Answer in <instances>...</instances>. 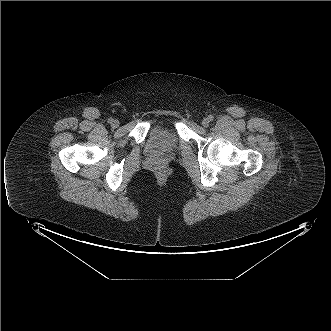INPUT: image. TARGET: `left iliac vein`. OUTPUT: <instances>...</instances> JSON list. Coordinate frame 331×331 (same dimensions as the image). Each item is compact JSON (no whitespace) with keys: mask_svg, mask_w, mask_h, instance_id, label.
<instances>
[{"mask_svg":"<svg viewBox=\"0 0 331 331\" xmlns=\"http://www.w3.org/2000/svg\"><path fill=\"white\" fill-rule=\"evenodd\" d=\"M209 123H210L209 118H204V119L202 120V125H203L204 127H208V126H209Z\"/></svg>","mask_w":331,"mask_h":331,"instance_id":"4c4485c4","label":"left iliac vein"}]
</instances>
